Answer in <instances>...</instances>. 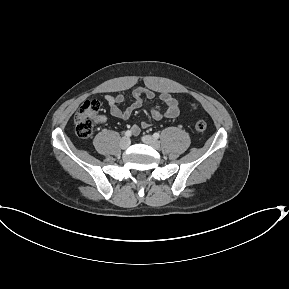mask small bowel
<instances>
[{
  "mask_svg": "<svg viewBox=\"0 0 289 289\" xmlns=\"http://www.w3.org/2000/svg\"><path fill=\"white\" fill-rule=\"evenodd\" d=\"M133 98L131 103L122 107L126 104V99L122 94L104 96V100L108 104L112 116L128 119L135 110L144 106L145 99L153 100L155 98V93L149 89L138 88L133 91ZM159 99L165 104L166 110L162 112L156 107L152 108L151 116L154 120H160L163 117L175 118L179 114L178 101L171 94L162 93L159 96ZM149 126L150 123L143 121L138 125H133L131 130L134 135H138L141 129L148 128Z\"/></svg>",
  "mask_w": 289,
  "mask_h": 289,
  "instance_id": "c3829d8e",
  "label": "small bowel"
}]
</instances>
